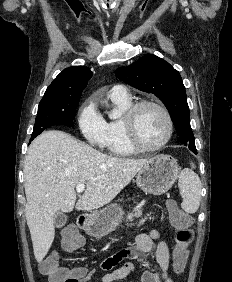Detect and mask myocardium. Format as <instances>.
<instances>
[{
  "label": "myocardium",
  "mask_w": 232,
  "mask_h": 282,
  "mask_svg": "<svg viewBox=\"0 0 232 282\" xmlns=\"http://www.w3.org/2000/svg\"><path fill=\"white\" fill-rule=\"evenodd\" d=\"M147 106L158 109L163 114L167 123V134L165 138L153 146L143 144L138 137L136 129L137 115L142 108ZM123 124L128 142L134 149L141 152H152L163 148L169 143L174 132V123L169 111L163 105L151 100H142L132 104L124 113Z\"/></svg>",
  "instance_id": "1"
}]
</instances>
